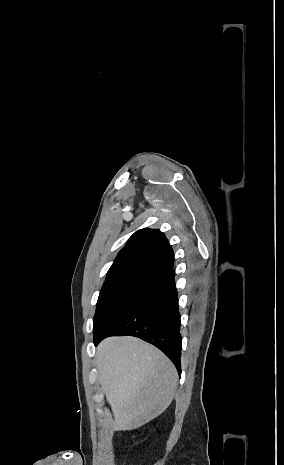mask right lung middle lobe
Masks as SVG:
<instances>
[{
    "instance_id": "dd1d6c3e",
    "label": "right lung middle lobe",
    "mask_w": 284,
    "mask_h": 465,
    "mask_svg": "<svg viewBox=\"0 0 284 465\" xmlns=\"http://www.w3.org/2000/svg\"><path fill=\"white\" fill-rule=\"evenodd\" d=\"M154 280L140 277H117L106 279L100 291L97 308L93 318L94 338L136 299H138Z\"/></svg>"
}]
</instances>
